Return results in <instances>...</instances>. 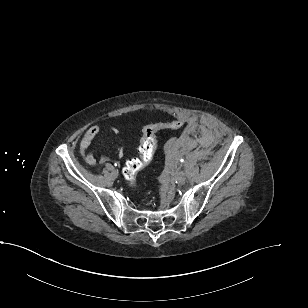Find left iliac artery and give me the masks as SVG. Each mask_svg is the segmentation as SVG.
Returning a JSON list of instances; mask_svg holds the SVG:
<instances>
[{"mask_svg":"<svg viewBox=\"0 0 308 308\" xmlns=\"http://www.w3.org/2000/svg\"><path fill=\"white\" fill-rule=\"evenodd\" d=\"M180 161H181V162H184V159H181Z\"/></svg>","mask_w":308,"mask_h":308,"instance_id":"left-iliac-artery-1","label":"left iliac artery"}]
</instances>
